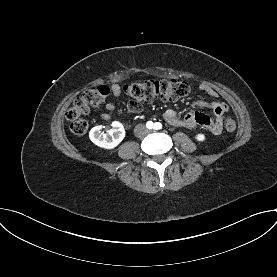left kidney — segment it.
I'll use <instances>...</instances> for the list:
<instances>
[{
    "instance_id": "obj_1",
    "label": "left kidney",
    "mask_w": 277,
    "mask_h": 277,
    "mask_svg": "<svg viewBox=\"0 0 277 277\" xmlns=\"http://www.w3.org/2000/svg\"><path fill=\"white\" fill-rule=\"evenodd\" d=\"M195 139H196L197 141H199V142H203V141L205 140V135L199 133V134H197V135L195 136Z\"/></svg>"
}]
</instances>
